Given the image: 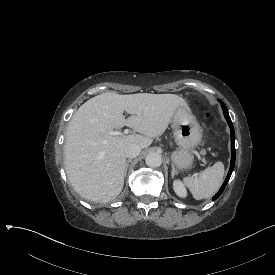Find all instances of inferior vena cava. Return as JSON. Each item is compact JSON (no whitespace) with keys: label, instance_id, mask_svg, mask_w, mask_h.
Segmentation results:
<instances>
[{"label":"inferior vena cava","instance_id":"obj_1","mask_svg":"<svg viewBox=\"0 0 275 275\" xmlns=\"http://www.w3.org/2000/svg\"><path fill=\"white\" fill-rule=\"evenodd\" d=\"M141 152V146L136 143L128 144L124 149V155L127 158H134Z\"/></svg>","mask_w":275,"mask_h":275}]
</instances>
